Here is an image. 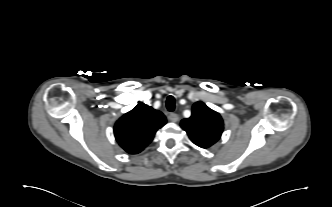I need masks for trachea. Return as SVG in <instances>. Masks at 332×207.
<instances>
[{"label":"trachea","instance_id":"3493384b","mask_svg":"<svg viewBox=\"0 0 332 207\" xmlns=\"http://www.w3.org/2000/svg\"><path fill=\"white\" fill-rule=\"evenodd\" d=\"M166 108L168 111L172 112L175 109V99L173 96H169L166 100Z\"/></svg>","mask_w":332,"mask_h":207}]
</instances>
